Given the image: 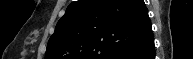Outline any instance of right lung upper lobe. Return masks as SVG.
I'll return each mask as SVG.
<instances>
[{"label": "right lung upper lobe", "mask_w": 193, "mask_h": 59, "mask_svg": "<svg viewBox=\"0 0 193 59\" xmlns=\"http://www.w3.org/2000/svg\"><path fill=\"white\" fill-rule=\"evenodd\" d=\"M151 34L143 0H79L58 21L45 59H117Z\"/></svg>", "instance_id": "right-lung-upper-lobe-1"}]
</instances>
